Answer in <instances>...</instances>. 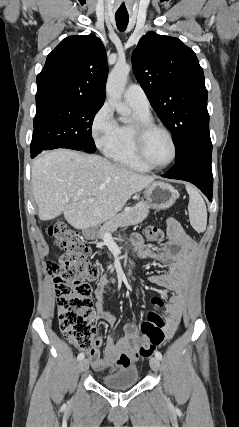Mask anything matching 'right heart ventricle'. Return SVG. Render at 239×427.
Masks as SVG:
<instances>
[{"instance_id": "1", "label": "right heart ventricle", "mask_w": 239, "mask_h": 427, "mask_svg": "<svg viewBox=\"0 0 239 427\" xmlns=\"http://www.w3.org/2000/svg\"><path fill=\"white\" fill-rule=\"evenodd\" d=\"M131 108L134 114V121L132 123L118 124L116 137L105 151V154L116 164L135 171L146 172L149 171V168L138 159L135 153L132 126L136 120L152 121V117L149 111H142L132 106Z\"/></svg>"}]
</instances>
